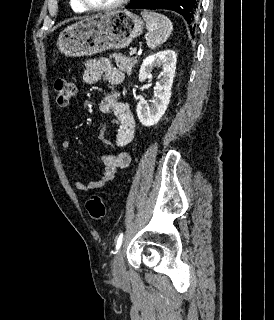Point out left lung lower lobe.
I'll return each instance as SVG.
<instances>
[{"label": "left lung lower lobe", "mask_w": 274, "mask_h": 320, "mask_svg": "<svg viewBox=\"0 0 274 320\" xmlns=\"http://www.w3.org/2000/svg\"><path fill=\"white\" fill-rule=\"evenodd\" d=\"M126 9H167L181 14L188 24L196 21L199 0H132Z\"/></svg>", "instance_id": "obj_1"}]
</instances>
